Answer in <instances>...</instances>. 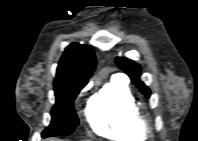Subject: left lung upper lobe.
Wrapping results in <instances>:
<instances>
[{
	"label": "left lung upper lobe",
	"mask_w": 198,
	"mask_h": 141,
	"mask_svg": "<svg viewBox=\"0 0 198 141\" xmlns=\"http://www.w3.org/2000/svg\"><path fill=\"white\" fill-rule=\"evenodd\" d=\"M116 64L122 69L126 74L129 75L132 82L140 89V91L146 95L150 96V90L145 84L139 79L141 75V67L127 58L121 57L116 59Z\"/></svg>",
	"instance_id": "left-lung-upper-lobe-1"
}]
</instances>
